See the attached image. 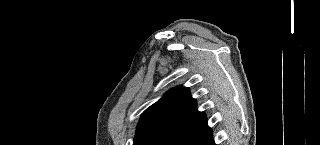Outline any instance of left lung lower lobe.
Returning a JSON list of instances; mask_svg holds the SVG:
<instances>
[{"label":"left lung lower lobe","mask_w":320,"mask_h":145,"mask_svg":"<svg viewBox=\"0 0 320 145\" xmlns=\"http://www.w3.org/2000/svg\"><path fill=\"white\" fill-rule=\"evenodd\" d=\"M179 145H215L212 130L207 123L185 136Z\"/></svg>","instance_id":"left-lung-lower-lobe-1"}]
</instances>
